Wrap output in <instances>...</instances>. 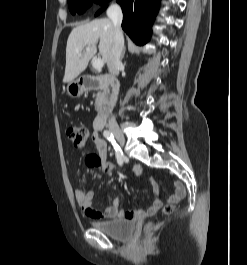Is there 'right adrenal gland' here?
<instances>
[{
	"instance_id": "obj_1",
	"label": "right adrenal gland",
	"mask_w": 247,
	"mask_h": 265,
	"mask_svg": "<svg viewBox=\"0 0 247 265\" xmlns=\"http://www.w3.org/2000/svg\"><path fill=\"white\" fill-rule=\"evenodd\" d=\"M125 47H124V49H123V52H122V55H121V60L124 58V55H125Z\"/></svg>"
}]
</instances>
